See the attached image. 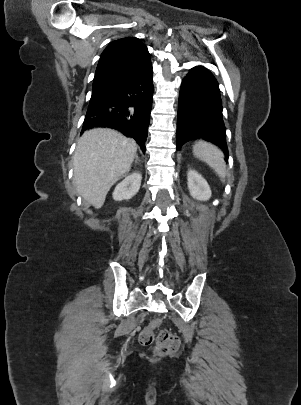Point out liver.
<instances>
[{
	"label": "liver",
	"mask_w": 301,
	"mask_h": 405,
	"mask_svg": "<svg viewBox=\"0 0 301 405\" xmlns=\"http://www.w3.org/2000/svg\"><path fill=\"white\" fill-rule=\"evenodd\" d=\"M136 151V142L115 130L84 132L73 156L78 193L96 209L101 208L110 188L130 171Z\"/></svg>",
	"instance_id": "liver-1"
}]
</instances>
